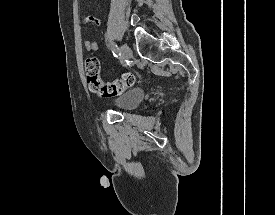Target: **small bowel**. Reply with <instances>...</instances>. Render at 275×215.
I'll return each mask as SVG.
<instances>
[{
  "label": "small bowel",
  "instance_id": "obj_1",
  "mask_svg": "<svg viewBox=\"0 0 275 215\" xmlns=\"http://www.w3.org/2000/svg\"><path fill=\"white\" fill-rule=\"evenodd\" d=\"M85 22L90 23V24H94V25H97V26H100L102 24L99 19H97L93 16L87 17ZM84 47L88 51H96L98 49V44H97V42L86 40L84 42Z\"/></svg>",
  "mask_w": 275,
  "mask_h": 215
}]
</instances>
